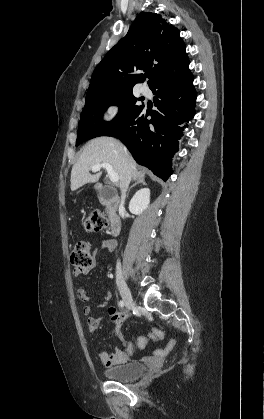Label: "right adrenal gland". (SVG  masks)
Segmentation results:
<instances>
[{
	"mask_svg": "<svg viewBox=\"0 0 264 419\" xmlns=\"http://www.w3.org/2000/svg\"><path fill=\"white\" fill-rule=\"evenodd\" d=\"M137 184L146 185V182H145L143 176H138V178L136 179V182L129 188L128 193H127V197L129 195V192H130L131 188L135 187Z\"/></svg>",
	"mask_w": 264,
	"mask_h": 419,
	"instance_id": "1",
	"label": "right adrenal gland"
}]
</instances>
